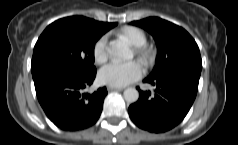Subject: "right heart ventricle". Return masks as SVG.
Here are the masks:
<instances>
[{
  "instance_id": "obj_1",
  "label": "right heart ventricle",
  "mask_w": 238,
  "mask_h": 145,
  "mask_svg": "<svg viewBox=\"0 0 238 145\" xmlns=\"http://www.w3.org/2000/svg\"><path fill=\"white\" fill-rule=\"evenodd\" d=\"M120 35L133 44H141L143 41L141 32L134 27L124 28L120 32Z\"/></svg>"
}]
</instances>
